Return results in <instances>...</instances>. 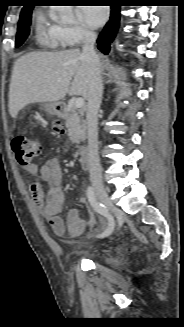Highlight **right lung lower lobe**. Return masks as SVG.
Returning <instances> with one entry per match:
<instances>
[{
	"instance_id": "1",
	"label": "right lung lower lobe",
	"mask_w": 184,
	"mask_h": 327,
	"mask_svg": "<svg viewBox=\"0 0 184 327\" xmlns=\"http://www.w3.org/2000/svg\"><path fill=\"white\" fill-rule=\"evenodd\" d=\"M120 21V6H111L110 20L105 25L104 29L100 33L97 39V47L104 54H108L110 50V44L116 36Z\"/></svg>"
}]
</instances>
